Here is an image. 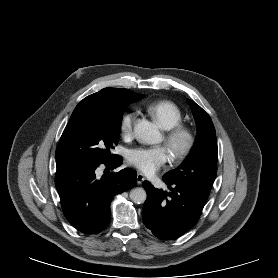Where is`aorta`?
Listing matches in <instances>:
<instances>
[{
    "label": "aorta",
    "mask_w": 278,
    "mask_h": 278,
    "mask_svg": "<svg viewBox=\"0 0 278 278\" xmlns=\"http://www.w3.org/2000/svg\"><path fill=\"white\" fill-rule=\"evenodd\" d=\"M136 137L144 143L156 144L161 140L157 126L147 120H139L134 127ZM147 198L143 188H134L130 191V199L136 204H142Z\"/></svg>",
    "instance_id": "762f6f07"
}]
</instances>
